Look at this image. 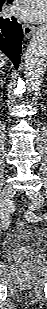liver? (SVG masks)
Returning <instances> with one entry per match:
<instances>
[{
    "mask_svg": "<svg viewBox=\"0 0 47 309\" xmlns=\"http://www.w3.org/2000/svg\"><path fill=\"white\" fill-rule=\"evenodd\" d=\"M6 61V57L3 55V53H0V66L4 65Z\"/></svg>",
    "mask_w": 47,
    "mask_h": 309,
    "instance_id": "6515ba94",
    "label": "liver"
}]
</instances>
